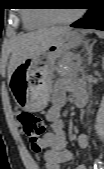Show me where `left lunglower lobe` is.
Returning a JSON list of instances; mask_svg holds the SVG:
<instances>
[{"instance_id":"obj_1","label":"left lung lower lobe","mask_w":104,"mask_h":169,"mask_svg":"<svg viewBox=\"0 0 104 169\" xmlns=\"http://www.w3.org/2000/svg\"><path fill=\"white\" fill-rule=\"evenodd\" d=\"M71 27L104 30V10L92 8L84 18L73 23Z\"/></svg>"}]
</instances>
